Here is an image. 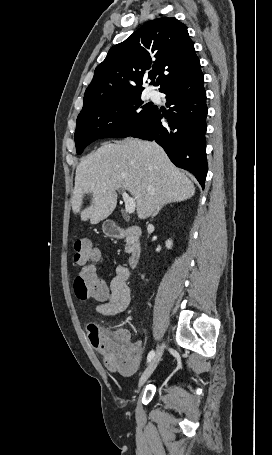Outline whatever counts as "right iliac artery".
I'll use <instances>...</instances> for the list:
<instances>
[{
    "label": "right iliac artery",
    "mask_w": 272,
    "mask_h": 455,
    "mask_svg": "<svg viewBox=\"0 0 272 455\" xmlns=\"http://www.w3.org/2000/svg\"><path fill=\"white\" fill-rule=\"evenodd\" d=\"M154 355H155L154 350H151V351L149 352L148 356H147V363H149V362L152 360V358L154 357Z\"/></svg>",
    "instance_id": "82829eb1"
}]
</instances>
